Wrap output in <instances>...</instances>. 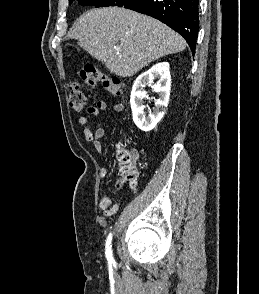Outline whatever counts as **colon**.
Segmentation results:
<instances>
[{"label":"colon","instance_id":"1","mask_svg":"<svg viewBox=\"0 0 259 294\" xmlns=\"http://www.w3.org/2000/svg\"><path fill=\"white\" fill-rule=\"evenodd\" d=\"M80 76L83 83L89 87H95L97 84H101L104 90L112 95H120L122 92V85L118 78L110 76L96 67H84L80 72ZM69 103L71 108L77 112L88 111L85 94L81 85L77 82L72 83L69 87ZM118 159L129 185L135 187L138 173L132 163L130 153L124 149H119Z\"/></svg>","mask_w":259,"mask_h":294}]
</instances>
